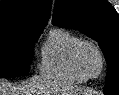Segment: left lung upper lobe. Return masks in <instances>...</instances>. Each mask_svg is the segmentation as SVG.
I'll return each mask as SVG.
<instances>
[{"label": "left lung upper lobe", "mask_w": 119, "mask_h": 95, "mask_svg": "<svg viewBox=\"0 0 119 95\" xmlns=\"http://www.w3.org/2000/svg\"><path fill=\"white\" fill-rule=\"evenodd\" d=\"M52 23L96 40L107 61L104 92L119 95V15L105 0H56Z\"/></svg>", "instance_id": "5c2ea615"}]
</instances>
